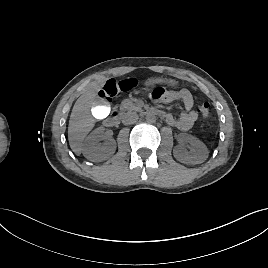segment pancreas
<instances>
[{"label": "pancreas", "instance_id": "obj_1", "mask_svg": "<svg viewBox=\"0 0 268 268\" xmlns=\"http://www.w3.org/2000/svg\"><path fill=\"white\" fill-rule=\"evenodd\" d=\"M143 106V103H133L132 101L130 100H124L121 104H120V109L121 110H128V111H132V110H135V109H138L140 107Z\"/></svg>", "mask_w": 268, "mask_h": 268}]
</instances>
